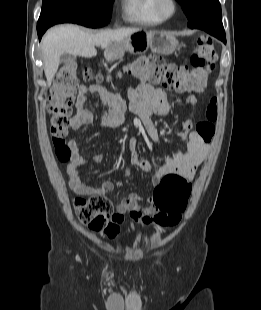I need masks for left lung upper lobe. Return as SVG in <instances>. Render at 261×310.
Here are the masks:
<instances>
[{"label": "left lung upper lobe", "instance_id": "obj_1", "mask_svg": "<svg viewBox=\"0 0 261 310\" xmlns=\"http://www.w3.org/2000/svg\"><path fill=\"white\" fill-rule=\"evenodd\" d=\"M188 18V25L213 20L222 25L219 0H177Z\"/></svg>", "mask_w": 261, "mask_h": 310}]
</instances>
